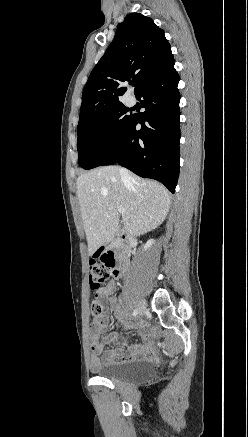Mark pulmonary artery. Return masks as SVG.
Instances as JSON below:
<instances>
[{"instance_id":"e3ab8cb5","label":"pulmonary artery","mask_w":248,"mask_h":437,"mask_svg":"<svg viewBox=\"0 0 248 437\" xmlns=\"http://www.w3.org/2000/svg\"><path fill=\"white\" fill-rule=\"evenodd\" d=\"M134 103V99L132 97L128 98V104L132 105Z\"/></svg>"}]
</instances>
